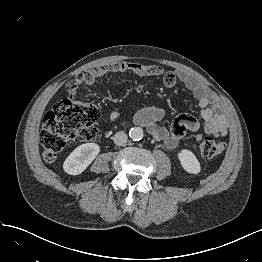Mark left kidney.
I'll use <instances>...</instances> for the list:
<instances>
[{"label":"left kidney","mask_w":262,"mask_h":262,"mask_svg":"<svg viewBox=\"0 0 262 262\" xmlns=\"http://www.w3.org/2000/svg\"><path fill=\"white\" fill-rule=\"evenodd\" d=\"M178 158L185 171L192 174H198L201 170L200 163L196 156L187 149H183L178 153Z\"/></svg>","instance_id":"left-kidney-1"}]
</instances>
